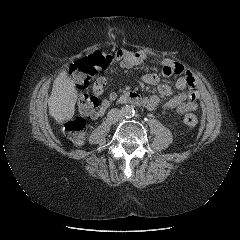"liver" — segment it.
I'll use <instances>...</instances> for the list:
<instances>
[{"instance_id": "6515ba94", "label": "liver", "mask_w": 240, "mask_h": 240, "mask_svg": "<svg viewBox=\"0 0 240 240\" xmlns=\"http://www.w3.org/2000/svg\"><path fill=\"white\" fill-rule=\"evenodd\" d=\"M77 97L78 94L73 80L63 70L53 82L52 92L48 99L49 114L58 123L72 119Z\"/></svg>"}]
</instances>
